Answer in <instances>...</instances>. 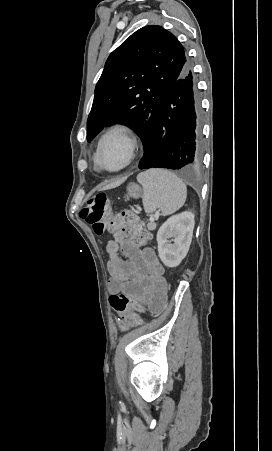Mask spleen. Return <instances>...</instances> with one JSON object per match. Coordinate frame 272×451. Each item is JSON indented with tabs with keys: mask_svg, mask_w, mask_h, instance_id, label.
I'll return each instance as SVG.
<instances>
[{
	"mask_svg": "<svg viewBox=\"0 0 272 451\" xmlns=\"http://www.w3.org/2000/svg\"><path fill=\"white\" fill-rule=\"evenodd\" d=\"M137 182L143 186V206L146 214H152L160 208L162 216H170L186 202L187 188L183 180L168 170H146L138 174Z\"/></svg>",
	"mask_w": 272,
	"mask_h": 451,
	"instance_id": "spleen-1",
	"label": "spleen"
}]
</instances>
